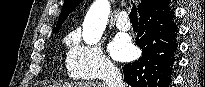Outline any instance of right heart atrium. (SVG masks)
<instances>
[{"mask_svg": "<svg viewBox=\"0 0 205 87\" xmlns=\"http://www.w3.org/2000/svg\"><path fill=\"white\" fill-rule=\"evenodd\" d=\"M66 70L73 78L90 80L113 75L117 66L100 44L89 45L73 36L66 56Z\"/></svg>", "mask_w": 205, "mask_h": 87, "instance_id": "1", "label": "right heart atrium"}]
</instances>
